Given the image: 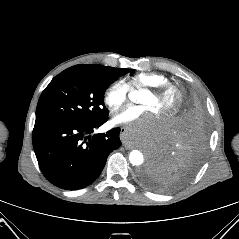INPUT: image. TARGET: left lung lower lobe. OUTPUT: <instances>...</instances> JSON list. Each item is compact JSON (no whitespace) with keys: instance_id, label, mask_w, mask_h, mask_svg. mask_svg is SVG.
I'll return each mask as SVG.
<instances>
[{"instance_id":"left-lung-lower-lobe-1","label":"left lung lower lobe","mask_w":239,"mask_h":239,"mask_svg":"<svg viewBox=\"0 0 239 239\" xmlns=\"http://www.w3.org/2000/svg\"><path fill=\"white\" fill-rule=\"evenodd\" d=\"M208 137L203 104L198 95H188L173 126L152 151L144 173L156 175L164 191L187 183L197 171Z\"/></svg>"}]
</instances>
